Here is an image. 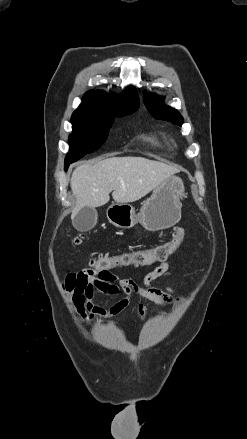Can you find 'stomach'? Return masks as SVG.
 Returning <instances> with one entry per match:
<instances>
[{
  "instance_id": "0dacf381",
  "label": "stomach",
  "mask_w": 247,
  "mask_h": 439,
  "mask_svg": "<svg viewBox=\"0 0 247 439\" xmlns=\"http://www.w3.org/2000/svg\"><path fill=\"white\" fill-rule=\"evenodd\" d=\"M186 198L183 181L174 175L165 179L136 213L129 204L116 203L107 209V218L114 226L129 229L140 223L149 231L172 227L181 218V199Z\"/></svg>"
}]
</instances>
